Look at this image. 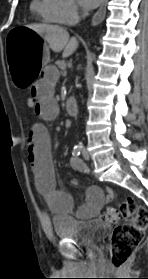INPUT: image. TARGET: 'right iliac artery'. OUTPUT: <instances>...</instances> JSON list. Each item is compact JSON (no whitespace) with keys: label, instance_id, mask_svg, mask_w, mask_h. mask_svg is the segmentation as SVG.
Listing matches in <instances>:
<instances>
[{"label":"right iliac artery","instance_id":"right-iliac-artery-1","mask_svg":"<svg viewBox=\"0 0 148 279\" xmlns=\"http://www.w3.org/2000/svg\"><path fill=\"white\" fill-rule=\"evenodd\" d=\"M80 153H81V147H80V146H75L74 149H73L72 154H73L74 156H79Z\"/></svg>","mask_w":148,"mask_h":279}]
</instances>
